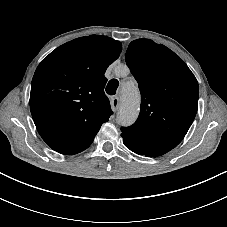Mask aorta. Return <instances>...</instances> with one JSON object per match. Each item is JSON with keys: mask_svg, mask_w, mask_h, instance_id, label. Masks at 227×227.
Instances as JSON below:
<instances>
[{"mask_svg": "<svg viewBox=\"0 0 227 227\" xmlns=\"http://www.w3.org/2000/svg\"><path fill=\"white\" fill-rule=\"evenodd\" d=\"M140 94L134 84L127 83L122 87V104L118 111V121L123 126L135 122L139 113Z\"/></svg>", "mask_w": 227, "mask_h": 227, "instance_id": "aorta-1", "label": "aorta"}]
</instances>
